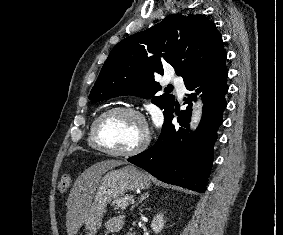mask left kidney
<instances>
[{"label": "left kidney", "mask_w": 283, "mask_h": 235, "mask_svg": "<svg viewBox=\"0 0 283 235\" xmlns=\"http://www.w3.org/2000/svg\"><path fill=\"white\" fill-rule=\"evenodd\" d=\"M164 224H165V220H164V217H163V214H157L152 222H151V228L153 230V232H155L156 234L157 233H160L164 227Z\"/></svg>", "instance_id": "1"}]
</instances>
